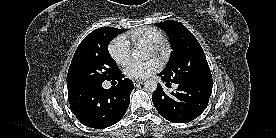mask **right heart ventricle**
Returning a JSON list of instances; mask_svg holds the SVG:
<instances>
[{"mask_svg": "<svg viewBox=\"0 0 276 138\" xmlns=\"http://www.w3.org/2000/svg\"><path fill=\"white\" fill-rule=\"evenodd\" d=\"M128 38L137 43H147L153 45L155 43L164 41L163 33L154 27H144L127 34Z\"/></svg>", "mask_w": 276, "mask_h": 138, "instance_id": "right-heart-ventricle-1", "label": "right heart ventricle"}]
</instances>
